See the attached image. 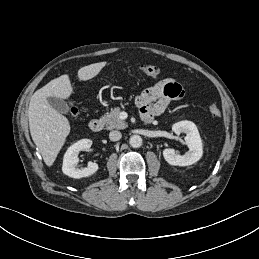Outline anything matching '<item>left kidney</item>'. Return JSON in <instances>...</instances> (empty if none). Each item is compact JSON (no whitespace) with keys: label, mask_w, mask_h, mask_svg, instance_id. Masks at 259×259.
I'll list each match as a JSON object with an SVG mask.
<instances>
[{"label":"left kidney","mask_w":259,"mask_h":259,"mask_svg":"<svg viewBox=\"0 0 259 259\" xmlns=\"http://www.w3.org/2000/svg\"><path fill=\"white\" fill-rule=\"evenodd\" d=\"M172 131L180 135L185 133V141L189 151L185 155H179L173 149H164V159L174 166H188L200 160L203 154L202 140L196 125L191 121H180L172 126Z\"/></svg>","instance_id":"1"}]
</instances>
